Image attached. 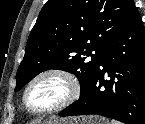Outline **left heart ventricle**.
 I'll use <instances>...</instances> for the list:
<instances>
[{
  "label": "left heart ventricle",
  "instance_id": "obj_1",
  "mask_svg": "<svg viewBox=\"0 0 145 124\" xmlns=\"http://www.w3.org/2000/svg\"><path fill=\"white\" fill-rule=\"evenodd\" d=\"M64 84L56 79H47L35 85L28 95V101L34 108L48 107L65 95Z\"/></svg>",
  "mask_w": 145,
  "mask_h": 124
}]
</instances>
